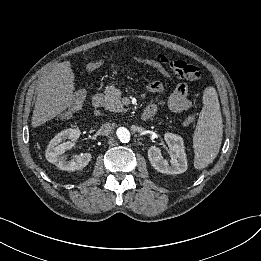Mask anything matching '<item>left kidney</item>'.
Wrapping results in <instances>:
<instances>
[{
    "label": "left kidney",
    "instance_id": "5707ae66",
    "mask_svg": "<svg viewBox=\"0 0 261 261\" xmlns=\"http://www.w3.org/2000/svg\"><path fill=\"white\" fill-rule=\"evenodd\" d=\"M164 140L169 147L171 165L162 157L160 148L156 146H151L148 149V158L151 165L160 173L180 174L185 172L188 165L183 138L173 133H165Z\"/></svg>",
    "mask_w": 261,
    "mask_h": 261
}]
</instances>
